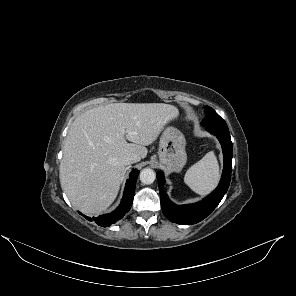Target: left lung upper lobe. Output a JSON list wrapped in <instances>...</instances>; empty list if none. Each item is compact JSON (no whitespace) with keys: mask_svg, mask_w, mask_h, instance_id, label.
<instances>
[{"mask_svg":"<svg viewBox=\"0 0 296 296\" xmlns=\"http://www.w3.org/2000/svg\"><path fill=\"white\" fill-rule=\"evenodd\" d=\"M206 117L202 121V125L206 127H227L226 122L210 107H204Z\"/></svg>","mask_w":296,"mask_h":296,"instance_id":"1","label":"left lung upper lobe"}]
</instances>
